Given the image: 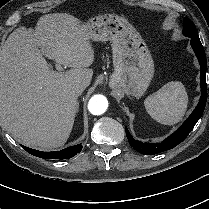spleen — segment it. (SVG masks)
<instances>
[{"label": "spleen", "instance_id": "obj_1", "mask_svg": "<svg viewBox=\"0 0 209 209\" xmlns=\"http://www.w3.org/2000/svg\"><path fill=\"white\" fill-rule=\"evenodd\" d=\"M148 114L164 125H174L182 120L188 105V95L184 85L171 81L144 101Z\"/></svg>", "mask_w": 209, "mask_h": 209}]
</instances>
